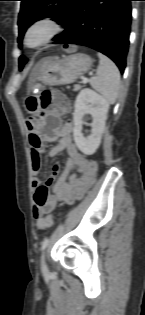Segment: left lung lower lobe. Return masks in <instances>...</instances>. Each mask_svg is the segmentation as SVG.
Masks as SVG:
<instances>
[{
  "mask_svg": "<svg viewBox=\"0 0 145 315\" xmlns=\"http://www.w3.org/2000/svg\"><path fill=\"white\" fill-rule=\"evenodd\" d=\"M131 1L75 0L63 25L65 30L54 38L55 44L83 45L109 58L121 73L126 67L131 26Z\"/></svg>",
  "mask_w": 145,
  "mask_h": 315,
  "instance_id": "0a47b994",
  "label": "left lung lower lobe"
}]
</instances>
